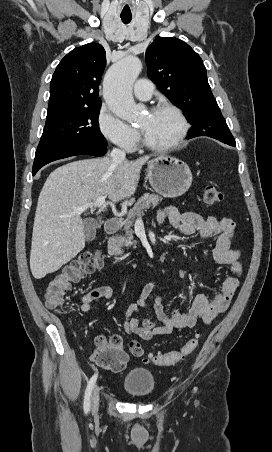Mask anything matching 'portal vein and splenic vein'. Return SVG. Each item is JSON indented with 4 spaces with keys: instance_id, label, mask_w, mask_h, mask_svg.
<instances>
[{
    "instance_id": "portal-vein-and-splenic-vein-1",
    "label": "portal vein and splenic vein",
    "mask_w": 272,
    "mask_h": 452,
    "mask_svg": "<svg viewBox=\"0 0 272 452\" xmlns=\"http://www.w3.org/2000/svg\"><path fill=\"white\" fill-rule=\"evenodd\" d=\"M96 207H99V208L105 207V197H104V196H100V197H98V198L96 199V201L91 202V203H88V204H86V205H84V206H81V207L76 208L75 211H76L77 213H82L83 211H85V210L88 209V208L93 209V208H96Z\"/></svg>"
}]
</instances>
